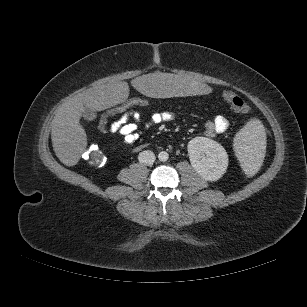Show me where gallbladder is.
<instances>
[{
  "label": "gallbladder",
  "mask_w": 307,
  "mask_h": 307,
  "mask_svg": "<svg viewBox=\"0 0 307 307\" xmlns=\"http://www.w3.org/2000/svg\"><path fill=\"white\" fill-rule=\"evenodd\" d=\"M83 117L87 120H94L96 118V113L90 108H85L83 111Z\"/></svg>",
  "instance_id": "obj_1"
}]
</instances>
